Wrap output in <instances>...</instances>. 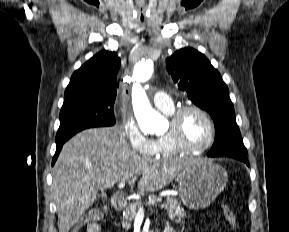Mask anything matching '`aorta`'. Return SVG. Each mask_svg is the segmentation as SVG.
Returning <instances> with one entry per match:
<instances>
[{
    "instance_id": "1",
    "label": "aorta",
    "mask_w": 289,
    "mask_h": 232,
    "mask_svg": "<svg viewBox=\"0 0 289 232\" xmlns=\"http://www.w3.org/2000/svg\"><path fill=\"white\" fill-rule=\"evenodd\" d=\"M136 79L146 81L152 74L151 61H141L136 65ZM134 111L139 126L144 133L155 134L165 129V119L152 107L145 91L137 85L135 88Z\"/></svg>"
}]
</instances>
